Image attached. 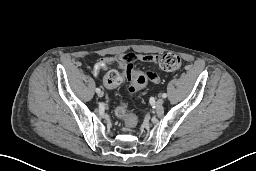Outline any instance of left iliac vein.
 <instances>
[{
    "mask_svg": "<svg viewBox=\"0 0 256 171\" xmlns=\"http://www.w3.org/2000/svg\"><path fill=\"white\" fill-rule=\"evenodd\" d=\"M164 103V100L162 98H159L156 102V107L160 108Z\"/></svg>",
    "mask_w": 256,
    "mask_h": 171,
    "instance_id": "left-iliac-vein-1",
    "label": "left iliac vein"
}]
</instances>
